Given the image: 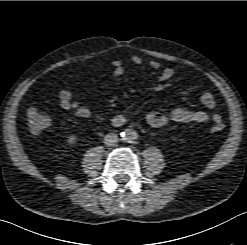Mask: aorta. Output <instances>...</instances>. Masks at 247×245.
Here are the masks:
<instances>
[{
  "label": "aorta",
  "instance_id": "obj_1",
  "mask_svg": "<svg viewBox=\"0 0 247 245\" xmlns=\"http://www.w3.org/2000/svg\"><path fill=\"white\" fill-rule=\"evenodd\" d=\"M122 138L128 142H134L138 139V133L133 129H127L121 133Z\"/></svg>",
  "mask_w": 247,
  "mask_h": 245
}]
</instances>
